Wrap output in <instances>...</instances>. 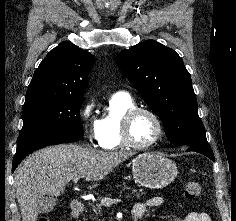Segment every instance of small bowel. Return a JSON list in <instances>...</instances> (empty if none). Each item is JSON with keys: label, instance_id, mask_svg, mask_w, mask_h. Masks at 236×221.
Returning a JSON list of instances; mask_svg holds the SVG:
<instances>
[{"label": "small bowel", "instance_id": "obj_1", "mask_svg": "<svg viewBox=\"0 0 236 221\" xmlns=\"http://www.w3.org/2000/svg\"><path fill=\"white\" fill-rule=\"evenodd\" d=\"M161 197H154L143 202H138L133 207V216L137 220L147 214L152 208H158L164 205ZM174 221H211L210 216L205 212L191 211L184 216H175Z\"/></svg>", "mask_w": 236, "mask_h": 221}]
</instances>
